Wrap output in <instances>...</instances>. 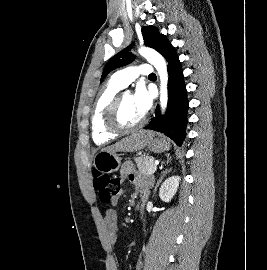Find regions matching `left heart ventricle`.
<instances>
[{"mask_svg": "<svg viewBox=\"0 0 267 270\" xmlns=\"http://www.w3.org/2000/svg\"><path fill=\"white\" fill-rule=\"evenodd\" d=\"M143 115L136 109L131 95H124L121 101L119 119L124 126H132L142 119Z\"/></svg>", "mask_w": 267, "mask_h": 270, "instance_id": "b2bd125f", "label": "left heart ventricle"}]
</instances>
